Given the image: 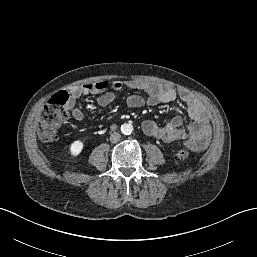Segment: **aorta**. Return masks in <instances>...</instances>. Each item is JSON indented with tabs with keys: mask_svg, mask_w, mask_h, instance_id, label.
I'll list each match as a JSON object with an SVG mask.
<instances>
[{
	"mask_svg": "<svg viewBox=\"0 0 257 257\" xmlns=\"http://www.w3.org/2000/svg\"><path fill=\"white\" fill-rule=\"evenodd\" d=\"M121 132L125 135H130L133 132V126L131 124H123L121 126Z\"/></svg>",
	"mask_w": 257,
	"mask_h": 257,
	"instance_id": "aorta-1",
	"label": "aorta"
}]
</instances>
